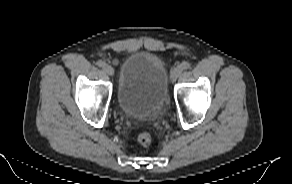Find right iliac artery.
Listing matches in <instances>:
<instances>
[{"label":"right iliac artery","mask_w":292,"mask_h":184,"mask_svg":"<svg viewBox=\"0 0 292 184\" xmlns=\"http://www.w3.org/2000/svg\"><path fill=\"white\" fill-rule=\"evenodd\" d=\"M99 67H104L105 66V62H103L102 60H98L96 63Z\"/></svg>","instance_id":"1"}]
</instances>
